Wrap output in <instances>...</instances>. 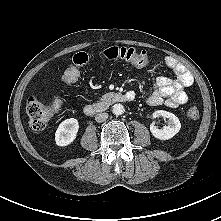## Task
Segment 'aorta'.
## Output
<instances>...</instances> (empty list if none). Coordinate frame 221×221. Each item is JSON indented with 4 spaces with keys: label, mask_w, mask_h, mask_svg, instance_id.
<instances>
[{
    "label": "aorta",
    "mask_w": 221,
    "mask_h": 221,
    "mask_svg": "<svg viewBox=\"0 0 221 221\" xmlns=\"http://www.w3.org/2000/svg\"><path fill=\"white\" fill-rule=\"evenodd\" d=\"M125 112L124 106L120 103L114 104L112 106V113L115 115H121Z\"/></svg>",
    "instance_id": "obj_1"
}]
</instances>
